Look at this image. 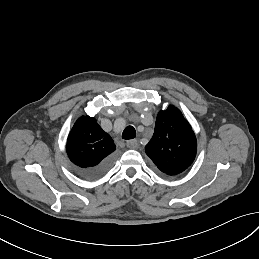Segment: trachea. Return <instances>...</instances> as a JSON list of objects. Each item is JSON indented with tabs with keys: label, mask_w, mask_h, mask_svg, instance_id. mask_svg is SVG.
<instances>
[{
	"label": "trachea",
	"mask_w": 259,
	"mask_h": 259,
	"mask_svg": "<svg viewBox=\"0 0 259 259\" xmlns=\"http://www.w3.org/2000/svg\"><path fill=\"white\" fill-rule=\"evenodd\" d=\"M136 137V132L134 127L132 126H128L124 129L123 133H122V138L125 140H129V139H133Z\"/></svg>",
	"instance_id": "obj_1"
}]
</instances>
